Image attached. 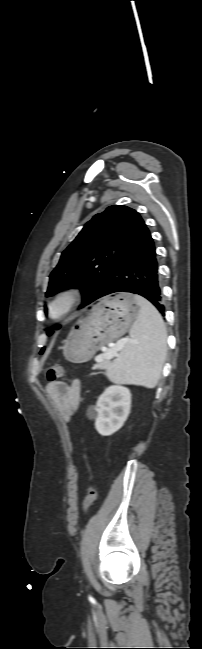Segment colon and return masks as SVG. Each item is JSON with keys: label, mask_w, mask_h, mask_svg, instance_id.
<instances>
[{"label": "colon", "mask_w": 202, "mask_h": 649, "mask_svg": "<svg viewBox=\"0 0 202 649\" xmlns=\"http://www.w3.org/2000/svg\"><path fill=\"white\" fill-rule=\"evenodd\" d=\"M65 375V368L62 365H54L50 367L47 371V378L50 382L57 381ZM97 498V491L92 486L89 488L84 501H83V513L86 514L90 508L94 505Z\"/></svg>", "instance_id": "colon-1"}]
</instances>
